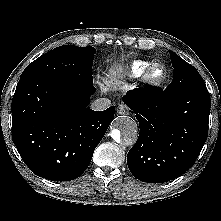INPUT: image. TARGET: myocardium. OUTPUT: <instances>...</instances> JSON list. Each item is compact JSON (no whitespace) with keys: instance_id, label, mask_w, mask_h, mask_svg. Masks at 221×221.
Listing matches in <instances>:
<instances>
[{"instance_id":"myocardium-1","label":"myocardium","mask_w":221,"mask_h":221,"mask_svg":"<svg viewBox=\"0 0 221 221\" xmlns=\"http://www.w3.org/2000/svg\"><path fill=\"white\" fill-rule=\"evenodd\" d=\"M156 68H161L163 71L162 76L159 78H155L153 76V71ZM168 77H169L168 70L163 64L153 63L143 73L141 80L144 83V85H146L147 87H159V86L163 85L164 83H166Z\"/></svg>"}]
</instances>
